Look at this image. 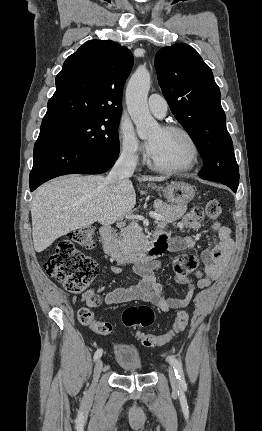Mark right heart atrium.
Listing matches in <instances>:
<instances>
[{"mask_svg":"<svg viewBox=\"0 0 262 431\" xmlns=\"http://www.w3.org/2000/svg\"><path fill=\"white\" fill-rule=\"evenodd\" d=\"M121 154L129 160H135L139 157L142 147L135 136L131 124L123 121L118 129Z\"/></svg>","mask_w":262,"mask_h":431,"instance_id":"1","label":"right heart atrium"}]
</instances>
